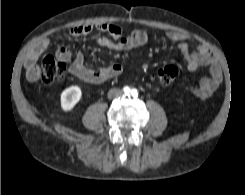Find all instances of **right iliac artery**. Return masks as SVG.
<instances>
[{"label":"right iliac artery","mask_w":245,"mask_h":195,"mask_svg":"<svg viewBox=\"0 0 245 195\" xmlns=\"http://www.w3.org/2000/svg\"><path fill=\"white\" fill-rule=\"evenodd\" d=\"M123 90H124L125 93H129V90H130V89H129V87H124Z\"/></svg>","instance_id":"right-iliac-artery-1"}]
</instances>
